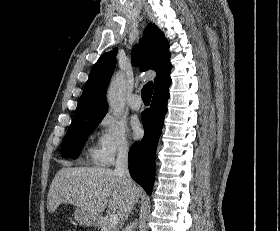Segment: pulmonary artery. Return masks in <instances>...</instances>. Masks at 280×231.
<instances>
[{
  "label": "pulmonary artery",
  "instance_id": "pulmonary-artery-1",
  "mask_svg": "<svg viewBox=\"0 0 280 231\" xmlns=\"http://www.w3.org/2000/svg\"><path fill=\"white\" fill-rule=\"evenodd\" d=\"M139 96L137 94H133L130 96L129 98V106L133 109V110H138L140 109V107L142 106V103L140 101L137 100Z\"/></svg>",
  "mask_w": 280,
  "mask_h": 231
}]
</instances>
